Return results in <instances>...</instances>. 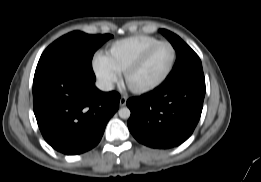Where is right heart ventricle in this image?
<instances>
[{
  "label": "right heart ventricle",
  "instance_id": "right-heart-ventricle-1",
  "mask_svg": "<svg viewBox=\"0 0 261 182\" xmlns=\"http://www.w3.org/2000/svg\"><path fill=\"white\" fill-rule=\"evenodd\" d=\"M158 42L160 40L152 36L128 37L111 44L107 49L106 56L113 68L118 73H123L144 51Z\"/></svg>",
  "mask_w": 261,
  "mask_h": 182
}]
</instances>
